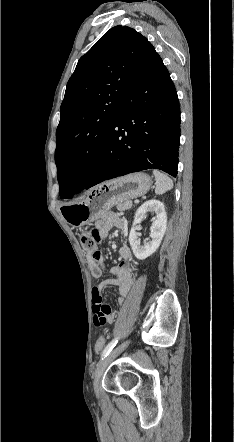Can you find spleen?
Returning <instances> with one entry per match:
<instances>
[{
	"instance_id": "obj_1",
	"label": "spleen",
	"mask_w": 234,
	"mask_h": 442,
	"mask_svg": "<svg viewBox=\"0 0 234 442\" xmlns=\"http://www.w3.org/2000/svg\"><path fill=\"white\" fill-rule=\"evenodd\" d=\"M153 175L155 176V193L160 195L164 194L168 190L173 188V181L166 174L160 172L159 170H153Z\"/></svg>"
}]
</instances>
